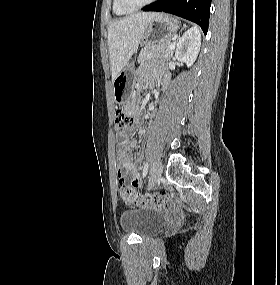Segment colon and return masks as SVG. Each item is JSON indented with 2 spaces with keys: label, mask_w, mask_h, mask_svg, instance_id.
Returning a JSON list of instances; mask_svg holds the SVG:
<instances>
[{
  "label": "colon",
  "mask_w": 280,
  "mask_h": 285,
  "mask_svg": "<svg viewBox=\"0 0 280 285\" xmlns=\"http://www.w3.org/2000/svg\"><path fill=\"white\" fill-rule=\"evenodd\" d=\"M133 124V117L124 112L123 110H116L114 116V130L118 137H120L124 131H126ZM121 198L126 203H136L138 201H143L146 203H152L159 206H167L171 204L174 200L173 194L159 193L153 195H138L135 193L134 189L123 184L120 190Z\"/></svg>",
  "instance_id": "colon-1"
}]
</instances>
